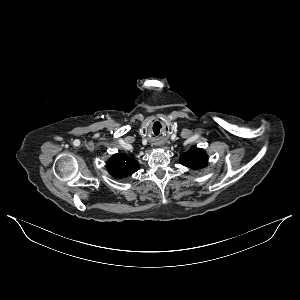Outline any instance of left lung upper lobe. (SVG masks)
<instances>
[{
  "label": "left lung upper lobe",
  "mask_w": 300,
  "mask_h": 300,
  "mask_svg": "<svg viewBox=\"0 0 300 300\" xmlns=\"http://www.w3.org/2000/svg\"><path fill=\"white\" fill-rule=\"evenodd\" d=\"M180 162L186 167L201 169L207 165L208 156L203 149L193 148L181 155Z\"/></svg>",
  "instance_id": "5c2ea615"
}]
</instances>
